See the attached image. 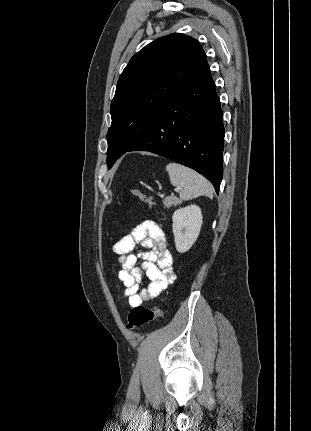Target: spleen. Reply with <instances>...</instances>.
Returning a JSON list of instances; mask_svg holds the SVG:
<instances>
[{
    "instance_id": "spleen-1",
    "label": "spleen",
    "mask_w": 311,
    "mask_h": 431,
    "mask_svg": "<svg viewBox=\"0 0 311 431\" xmlns=\"http://www.w3.org/2000/svg\"><path fill=\"white\" fill-rule=\"evenodd\" d=\"M166 172L169 174L172 186L181 188V200H193L198 196H208L212 200L213 190L210 182L197 174V172H194V170L172 162V164L166 166Z\"/></svg>"
}]
</instances>
